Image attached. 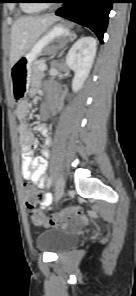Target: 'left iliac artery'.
<instances>
[{
    "label": "left iliac artery",
    "mask_w": 136,
    "mask_h": 296,
    "mask_svg": "<svg viewBox=\"0 0 136 296\" xmlns=\"http://www.w3.org/2000/svg\"><path fill=\"white\" fill-rule=\"evenodd\" d=\"M51 179H52V178L49 176V177H48V185H51V184H52ZM50 203H51V202H50Z\"/></svg>",
    "instance_id": "44dca946"
}]
</instances>
